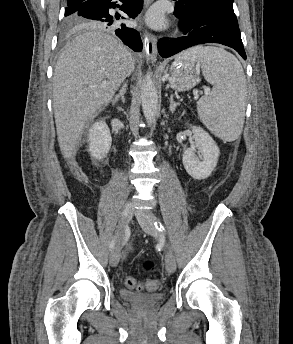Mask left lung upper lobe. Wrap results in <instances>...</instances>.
Masks as SVG:
<instances>
[{
	"label": "left lung upper lobe",
	"instance_id": "1",
	"mask_svg": "<svg viewBox=\"0 0 293 344\" xmlns=\"http://www.w3.org/2000/svg\"><path fill=\"white\" fill-rule=\"evenodd\" d=\"M234 0H178L186 9H194L201 16L211 17L232 30L240 33L236 15L233 10Z\"/></svg>",
	"mask_w": 293,
	"mask_h": 344
}]
</instances>
